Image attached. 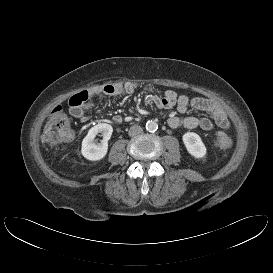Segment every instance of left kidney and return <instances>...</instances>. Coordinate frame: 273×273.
<instances>
[{
	"label": "left kidney",
	"instance_id": "left-kidney-1",
	"mask_svg": "<svg viewBox=\"0 0 273 273\" xmlns=\"http://www.w3.org/2000/svg\"><path fill=\"white\" fill-rule=\"evenodd\" d=\"M183 143L193 157L202 158L206 155V147L200 136L194 132H187L182 136Z\"/></svg>",
	"mask_w": 273,
	"mask_h": 273
}]
</instances>
